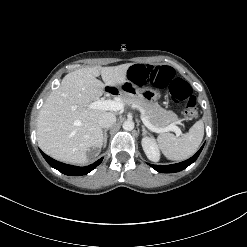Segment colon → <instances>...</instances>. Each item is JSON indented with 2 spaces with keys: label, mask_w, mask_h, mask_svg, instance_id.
<instances>
[{
  "label": "colon",
  "mask_w": 247,
  "mask_h": 247,
  "mask_svg": "<svg viewBox=\"0 0 247 247\" xmlns=\"http://www.w3.org/2000/svg\"><path fill=\"white\" fill-rule=\"evenodd\" d=\"M129 77L139 85L149 83L158 88H168L171 99L183 104L187 117L197 116L196 98L192 88L183 79L175 77V72L171 67L137 64L130 67Z\"/></svg>",
  "instance_id": "colon-1"
}]
</instances>
